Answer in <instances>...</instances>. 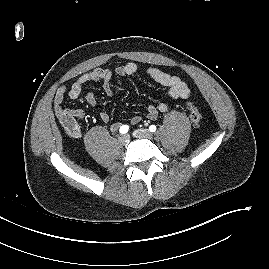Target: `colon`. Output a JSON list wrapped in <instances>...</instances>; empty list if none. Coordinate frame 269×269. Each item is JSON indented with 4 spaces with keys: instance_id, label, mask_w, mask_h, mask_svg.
Here are the masks:
<instances>
[{
    "instance_id": "colon-1",
    "label": "colon",
    "mask_w": 269,
    "mask_h": 269,
    "mask_svg": "<svg viewBox=\"0 0 269 269\" xmlns=\"http://www.w3.org/2000/svg\"><path fill=\"white\" fill-rule=\"evenodd\" d=\"M188 109H189V117L190 120L195 127H199L201 124L202 116L197 107L192 103H187Z\"/></svg>"
}]
</instances>
